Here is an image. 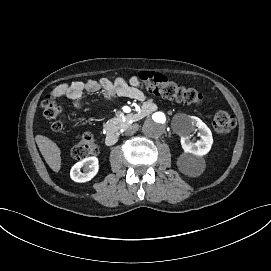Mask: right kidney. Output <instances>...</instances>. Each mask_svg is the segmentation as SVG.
Instances as JSON below:
<instances>
[{"instance_id":"right-kidney-1","label":"right kidney","mask_w":271,"mask_h":271,"mask_svg":"<svg viewBox=\"0 0 271 271\" xmlns=\"http://www.w3.org/2000/svg\"><path fill=\"white\" fill-rule=\"evenodd\" d=\"M98 169L99 165L97 157H88L77 162L71 168L70 177L75 182H87L97 174Z\"/></svg>"}]
</instances>
